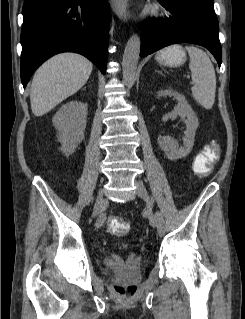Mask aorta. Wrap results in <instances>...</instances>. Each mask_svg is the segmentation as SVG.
I'll use <instances>...</instances> for the list:
<instances>
[{"label": "aorta", "instance_id": "obj_1", "mask_svg": "<svg viewBox=\"0 0 245 319\" xmlns=\"http://www.w3.org/2000/svg\"><path fill=\"white\" fill-rule=\"evenodd\" d=\"M141 40L137 34H133L125 47L122 60L123 81L127 85H131L136 75Z\"/></svg>", "mask_w": 245, "mask_h": 319}]
</instances>
